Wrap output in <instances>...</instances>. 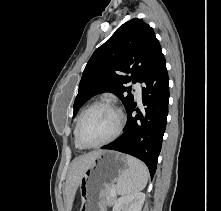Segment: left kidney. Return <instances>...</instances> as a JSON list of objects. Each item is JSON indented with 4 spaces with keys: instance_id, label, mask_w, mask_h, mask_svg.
I'll list each match as a JSON object with an SVG mask.
<instances>
[{
    "instance_id": "1",
    "label": "left kidney",
    "mask_w": 221,
    "mask_h": 211,
    "mask_svg": "<svg viewBox=\"0 0 221 211\" xmlns=\"http://www.w3.org/2000/svg\"><path fill=\"white\" fill-rule=\"evenodd\" d=\"M145 194L142 192L118 198L113 206V211H141Z\"/></svg>"
}]
</instances>
